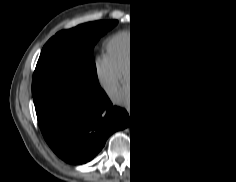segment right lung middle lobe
Returning <instances> with one entry per match:
<instances>
[{"label": "right lung middle lobe", "mask_w": 236, "mask_h": 182, "mask_svg": "<svg viewBox=\"0 0 236 182\" xmlns=\"http://www.w3.org/2000/svg\"><path fill=\"white\" fill-rule=\"evenodd\" d=\"M118 22H91L53 36L43 47L32 78V95L74 86L102 99L92 56L98 39Z\"/></svg>", "instance_id": "obj_1"}]
</instances>
